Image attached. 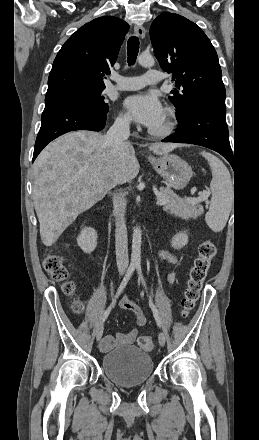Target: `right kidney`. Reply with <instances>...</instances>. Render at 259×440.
<instances>
[{"mask_svg":"<svg viewBox=\"0 0 259 440\" xmlns=\"http://www.w3.org/2000/svg\"><path fill=\"white\" fill-rule=\"evenodd\" d=\"M97 232L91 227H84L77 237V244L84 253L90 254L97 246Z\"/></svg>","mask_w":259,"mask_h":440,"instance_id":"ca27d5eb","label":"right kidney"}]
</instances>
